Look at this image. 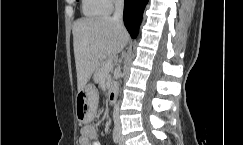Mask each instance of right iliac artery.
<instances>
[{
	"label": "right iliac artery",
	"mask_w": 243,
	"mask_h": 145,
	"mask_svg": "<svg viewBox=\"0 0 243 145\" xmlns=\"http://www.w3.org/2000/svg\"><path fill=\"white\" fill-rule=\"evenodd\" d=\"M113 141L117 144L119 143V130L118 127L115 126L113 130Z\"/></svg>",
	"instance_id": "right-iliac-artery-1"
}]
</instances>
